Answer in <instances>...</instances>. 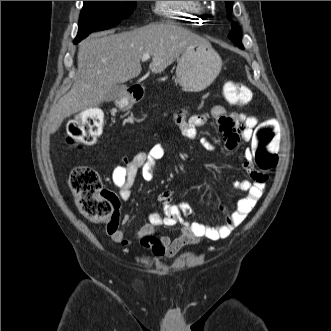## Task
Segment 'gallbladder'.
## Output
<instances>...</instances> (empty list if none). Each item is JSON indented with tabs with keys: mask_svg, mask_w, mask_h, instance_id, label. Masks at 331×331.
<instances>
[{
	"mask_svg": "<svg viewBox=\"0 0 331 331\" xmlns=\"http://www.w3.org/2000/svg\"><path fill=\"white\" fill-rule=\"evenodd\" d=\"M125 88L126 87L124 85H113L110 90L105 94L104 101L111 102L121 98L125 93Z\"/></svg>",
	"mask_w": 331,
	"mask_h": 331,
	"instance_id": "obj_1",
	"label": "gallbladder"
}]
</instances>
